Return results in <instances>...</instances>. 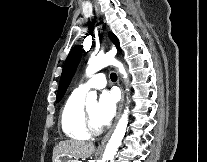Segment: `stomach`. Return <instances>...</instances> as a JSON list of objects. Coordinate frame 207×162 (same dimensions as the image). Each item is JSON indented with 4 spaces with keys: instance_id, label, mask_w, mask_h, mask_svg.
Instances as JSON below:
<instances>
[{
    "instance_id": "obj_1",
    "label": "stomach",
    "mask_w": 207,
    "mask_h": 162,
    "mask_svg": "<svg viewBox=\"0 0 207 162\" xmlns=\"http://www.w3.org/2000/svg\"><path fill=\"white\" fill-rule=\"evenodd\" d=\"M53 162H79V161H76V159H74V160L68 159V158H66V156H62V157L53 159Z\"/></svg>"
}]
</instances>
